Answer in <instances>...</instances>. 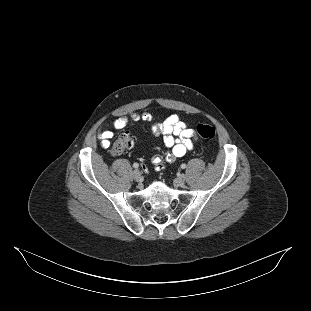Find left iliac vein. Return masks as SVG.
Listing matches in <instances>:
<instances>
[{
	"mask_svg": "<svg viewBox=\"0 0 311 311\" xmlns=\"http://www.w3.org/2000/svg\"><path fill=\"white\" fill-rule=\"evenodd\" d=\"M186 177L185 175H179L178 177L175 178L174 183L177 186H183L185 183Z\"/></svg>",
	"mask_w": 311,
	"mask_h": 311,
	"instance_id": "left-iliac-vein-1",
	"label": "left iliac vein"
}]
</instances>
